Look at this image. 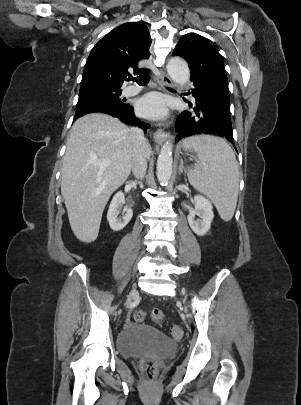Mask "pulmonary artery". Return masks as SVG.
<instances>
[{"mask_svg":"<svg viewBox=\"0 0 301 405\" xmlns=\"http://www.w3.org/2000/svg\"><path fill=\"white\" fill-rule=\"evenodd\" d=\"M140 90H141L140 87L132 85V86L126 87L123 91V94L125 96H133V95L138 94L140 92Z\"/></svg>","mask_w":301,"mask_h":405,"instance_id":"1","label":"pulmonary artery"}]
</instances>
